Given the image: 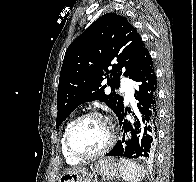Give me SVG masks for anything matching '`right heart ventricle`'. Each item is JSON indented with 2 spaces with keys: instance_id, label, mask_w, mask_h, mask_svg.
<instances>
[{
  "instance_id": "e07e8e85",
  "label": "right heart ventricle",
  "mask_w": 196,
  "mask_h": 182,
  "mask_svg": "<svg viewBox=\"0 0 196 182\" xmlns=\"http://www.w3.org/2000/svg\"><path fill=\"white\" fill-rule=\"evenodd\" d=\"M72 122V121H71ZM71 122H68L67 125L65 126V129H64V132H63V135H62V139H61V149H62V153L67 161V163L71 164V165H76V164H79L81 160L71 156L66 148H65V144H64V137H65V133L67 131V128L68 126L70 125Z\"/></svg>"
}]
</instances>
